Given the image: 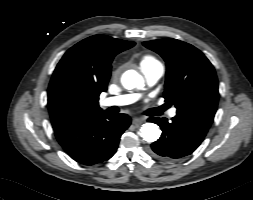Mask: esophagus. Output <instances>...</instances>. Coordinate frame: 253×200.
<instances>
[{"label":"esophagus","mask_w":253,"mask_h":200,"mask_svg":"<svg viewBox=\"0 0 253 200\" xmlns=\"http://www.w3.org/2000/svg\"><path fill=\"white\" fill-rule=\"evenodd\" d=\"M143 121L144 120L142 118L134 117L133 120H132V123L137 125V124L142 123Z\"/></svg>","instance_id":"esophagus-1"}]
</instances>
